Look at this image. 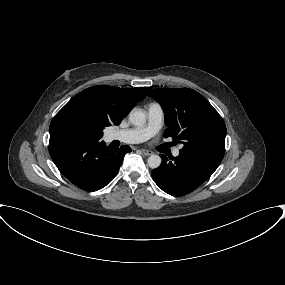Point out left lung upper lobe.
Segmentation results:
<instances>
[{
    "label": "left lung upper lobe",
    "instance_id": "1",
    "mask_svg": "<svg viewBox=\"0 0 285 285\" xmlns=\"http://www.w3.org/2000/svg\"><path fill=\"white\" fill-rule=\"evenodd\" d=\"M149 96L164 110L168 127L164 137L182 141L180 151L223 159L225 123L201 94L188 88H156Z\"/></svg>",
    "mask_w": 285,
    "mask_h": 285
}]
</instances>
